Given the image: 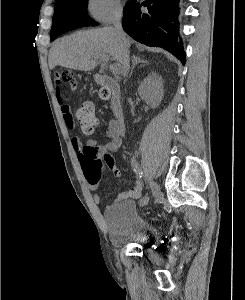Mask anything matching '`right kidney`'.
<instances>
[{"label": "right kidney", "instance_id": "right-kidney-1", "mask_svg": "<svg viewBox=\"0 0 245 300\" xmlns=\"http://www.w3.org/2000/svg\"><path fill=\"white\" fill-rule=\"evenodd\" d=\"M138 93L152 108L159 106L163 97L162 78L157 73H150L139 85Z\"/></svg>", "mask_w": 245, "mask_h": 300}]
</instances>
